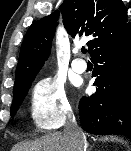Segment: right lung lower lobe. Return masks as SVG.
<instances>
[{
  "label": "right lung lower lobe",
  "instance_id": "98d812e1",
  "mask_svg": "<svg viewBox=\"0 0 131 151\" xmlns=\"http://www.w3.org/2000/svg\"><path fill=\"white\" fill-rule=\"evenodd\" d=\"M90 56L96 92L79 102L81 124L92 134H123L131 140V30Z\"/></svg>",
  "mask_w": 131,
  "mask_h": 151
}]
</instances>
